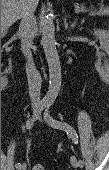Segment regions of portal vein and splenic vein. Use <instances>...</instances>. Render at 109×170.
Listing matches in <instances>:
<instances>
[{
  "instance_id": "portal-vein-and-splenic-vein-1",
  "label": "portal vein and splenic vein",
  "mask_w": 109,
  "mask_h": 170,
  "mask_svg": "<svg viewBox=\"0 0 109 170\" xmlns=\"http://www.w3.org/2000/svg\"><path fill=\"white\" fill-rule=\"evenodd\" d=\"M81 12L80 8L77 6L76 9H75V13H79Z\"/></svg>"
}]
</instances>
